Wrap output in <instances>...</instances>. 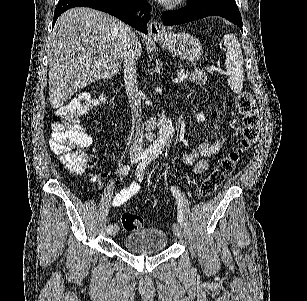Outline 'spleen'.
Segmentation results:
<instances>
[{
	"label": "spleen",
	"mask_w": 307,
	"mask_h": 301,
	"mask_svg": "<svg viewBox=\"0 0 307 301\" xmlns=\"http://www.w3.org/2000/svg\"><path fill=\"white\" fill-rule=\"evenodd\" d=\"M224 44L227 48L225 66L229 72L228 84L233 92H241L244 80V60L241 44L235 34H224Z\"/></svg>",
	"instance_id": "obj_1"
}]
</instances>
